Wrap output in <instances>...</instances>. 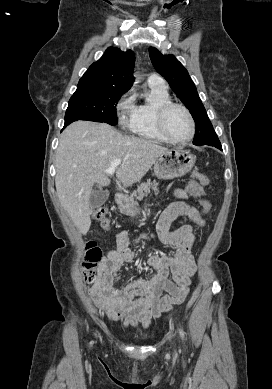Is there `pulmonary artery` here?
Here are the masks:
<instances>
[{"mask_svg": "<svg viewBox=\"0 0 272 389\" xmlns=\"http://www.w3.org/2000/svg\"><path fill=\"white\" fill-rule=\"evenodd\" d=\"M148 84L166 87L164 81L159 76L154 74L149 76Z\"/></svg>", "mask_w": 272, "mask_h": 389, "instance_id": "1", "label": "pulmonary artery"}]
</instances>
